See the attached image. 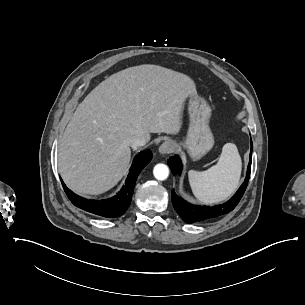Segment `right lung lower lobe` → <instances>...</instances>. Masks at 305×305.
<instances>
[{
	"instance_id": "right-lung-lower-lobe-1",
	"label": "right lung lower lobe",
	"mask_w": 305,
	"mask_h": 305,
	"mask_svg": "<svg viewBox=\"0 0 305 305\" xmlns=\"http://www.w3.org/2000/svg\"><path fill=\"white\" fill-rule=\"evenodd\" d=\"M151 159L152 153L150 150L140 152L133 161L125 185L116 196L110 199L101 201L84 199L69 190L62 180L61 182L68 198L75 206L96 215L104 217H119L128 209L132 199L136 179L141 170L151 161Z\"/></svg>"
}]
</instances>
